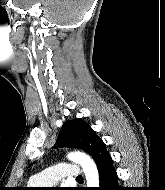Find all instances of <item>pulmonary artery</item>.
<instances>
[{
    "mask_svg": "<svg viewBox=\"0 0 165 190\" xmlns=\"http://www.w3.org/2000/svg\"><path fill=\"white\" fill-rule=\"evenodd\" d=\"M81 175L82 171L79 165L63 162L51 166L34 175L31 182L40 186H50L56 184L62 179H76Z\"/></svg>",
    "mask_w": 165,
    "mask_h": 190,
    "instance_id": "pulmonary-artery-1",
    "label": "pulmonary artery"
}]
</instances>
